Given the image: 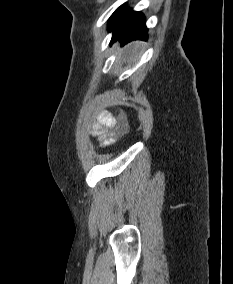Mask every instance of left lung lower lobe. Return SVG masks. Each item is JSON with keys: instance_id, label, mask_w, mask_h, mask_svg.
<instances>
[{"instance_id": "0a47b994", "label": "left lung lower lobe", "mask_w": 233, "mask_h": 284, "mask_svg": "<svg viewBox=\"0 0 233 284\" xmlns=\"http://www.w3.org/2000/svg\"><path fill=\"white\" fill-rule=\"evenodd\" d=\"M109 31L113 32L112 40H119L125 45L132 40H147L145 18L141 12L127 9L121 5L109 18Z\"/></svg>"}]
</instances>
